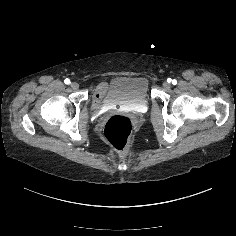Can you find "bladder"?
Returning <instances> with one entry per match:
<instances>
[{"mask_svg":"<svg viewBox=\"0 0 236 236\" xmlns=\"http://www.w3.org/2000/svg\"><path fill=\"white\" fill-rule=\"evenodd\" d=\"M147 86V82L139 77H114L104 87L103 101L119 106L145 104Z\"/></svg>","mask_w":236,"mask_h":236,"instance_id":"1","label":"bladder"}]
</instances>
